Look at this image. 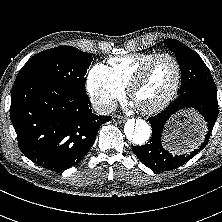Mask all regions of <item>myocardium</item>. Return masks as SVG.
Masks as SVG:
<instances>
[{"instance_id": "myocardium-1", "label": "myocardium", "mask_w": 222, "mask_h": 222, "mask_svg": "<svg viewBox=\"0 0 222 222\" xmlns=\"http://www.w3.org/2000/svg\"><path fill=\"white\" fill-rule=\"evenodd\" d=\"M161 58H168L173 61L175 68H176L175 80H174L173 86L171 87L169 92L166 94V96L161 101H159L158 103H156L152 106L139 107L140 110L146 114H153V113H156V112L162 110L163 108H165L171 102V100L174 98V96L176 95V93L179 89V86H180L181 75H182V69H181L180 62L171 53H158V54L154 55L152 58H150L149 60H147L146 62H144L139 67V69L136 71V73L133 75V77L131 78V80L127 86L129 96L133 99V95H134L136 88L144 79L145 74L148 71V69L150 68V66L155 61H157L158 59H161Z\"/></svg>"}]
</instances>
